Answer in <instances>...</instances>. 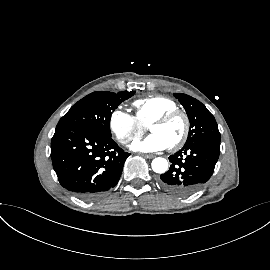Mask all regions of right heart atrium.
Wrapping results in <instances>:
<instances>
[{
    "mask_svg": "<svg viewBox=\"0 0 270 270\" xmlns=\"http://www.w3.org/2000/svg\"><path fill=\"white\" fill-rule=\"evenodd\" d=\"M108 125L117 141L125 146H128L133 140L138 138L144 130L143 125L135 115L121 108L111 112Z\"/></svg>",
    "mask_w": 270,
    "mask_h": 270,
    "instance_id": "1",
    "label": "right heart atrium"
}]
</instances>
